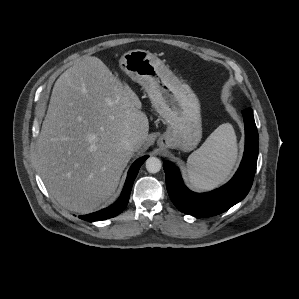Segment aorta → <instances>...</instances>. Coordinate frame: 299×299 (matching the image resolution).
Returning <instances> with one entry per match:
<instances>
[{"label":"aorta","mask_w":299,"mask_h":299,"mask_svg":"<svg viewBox=\"0 0 299 299\" xmlns=\"http://www.w3.org/2000/svg\"><path fill=\"white\" fill-rule=\"evenodd\" d=\"M161 161L157 157H150L146 160V169L149 173H157L161 169Z\"/></svg>","instance_id":"762f6f07"}]
</instances>
